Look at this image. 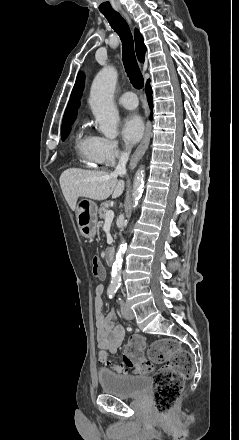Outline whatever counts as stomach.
Instances as JSON below:
<instances>
[{
	"label": "stomach",
	"mask_w": 239,
	"mask_h": 440,
	"mask_svg": "<svg viewBox=\"0 0 239 440\" xmlns=\"http://www.w3.org/2000/svg\"><path fill=\"white\" fill-rule=\"evenodd\" d=\"M97 204L92 200H80L76 206V220L83 238H94L97 232Z\"/></svg>",
	"instance_id": "0dacf381"
}]
</instances>
